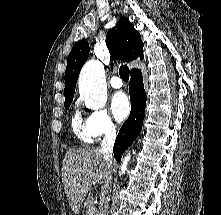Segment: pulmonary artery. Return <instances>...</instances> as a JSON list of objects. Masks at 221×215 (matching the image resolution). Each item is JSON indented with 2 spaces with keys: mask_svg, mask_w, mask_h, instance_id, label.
<instances>
[{
  "mask_svg": "<svg viewBox=\"0 0 221 215\" xmlns=\"http://www.w3.org/2000/svg\"><path fill=\"white\" fill-rule=\"evenodd\" d=\"M110 85L115 89H119L123 86V81H122L121 77L113 76L110 79Z\"/></svg>",
  "mask_w": 221,
  "mask_h": 215,
  "instance_id": "e3ab8cb5",
  "label": "pulmonary artery"
}]
</instances>
